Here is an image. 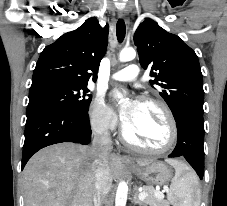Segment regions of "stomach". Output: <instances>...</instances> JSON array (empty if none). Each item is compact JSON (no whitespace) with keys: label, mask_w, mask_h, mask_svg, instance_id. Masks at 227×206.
<instances>
[{"label":"stomach","mask_w":227,"mask_h":206,"mask_svg":"<svg viewBox=\"0 0 227 206\" xmlns=\"http://www.w3.org/2000/svg\"><path fill=\"white\" fill-rule=\"evenodd\" d=\"M130 168L140 179L151 185H164L172 179V170L160 161L152 160L147 164L137 161Z\"/></svg>","instance_id":"stomach-1"}]
</instances>
